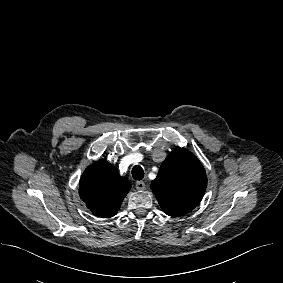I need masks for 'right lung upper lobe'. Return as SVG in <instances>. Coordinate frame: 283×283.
<instances>
[{
	"label": "right lung upper lobe",
	"mask_w": 283,
	"mask_h": 283,
	"mask_svg": "<svg viewBox=\"0 0 283 283\" xmlns=\"http://www.w3.org/2000/svg\"><path fill=\"white\" fill-rule=\"evenodd\" d=\"M79 187L80 197L92 213L109 218L118 212L131 184L116 167L99 159L85 170Z\"/></svg>",
	"instance_id": "cb5924a9"
}]
</instances>
